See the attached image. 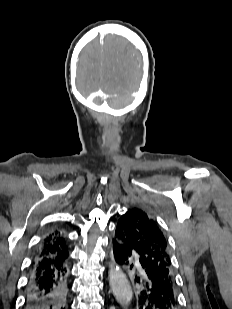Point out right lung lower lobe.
I'll return each instance as SVG.
<instances>
[{
  "mask_svg": "<svg viewBox=\"0 0 232 309\" xmlns=\"http://www.w3.org/2000/svg\"><path fill=\"white\" fill-rule=\"evenodd\" d=\"M66 257L33 260L27 285V309H67L68 276Z\"/></svg>",
  "mask_w": 232,
  "mask_h": 309,
  "instance_id": "obj_1",
  "label": "right lung lower lobe"
}]
</instances>
